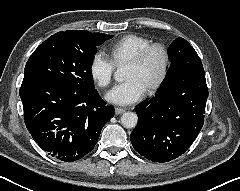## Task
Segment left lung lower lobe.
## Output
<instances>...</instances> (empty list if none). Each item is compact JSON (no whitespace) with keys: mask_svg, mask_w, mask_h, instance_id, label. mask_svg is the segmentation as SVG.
I'll return each mask as SVG.
<instances>
[{"mask_svg":"<svg viewBox=\"0 0 240 191\" xmlns=\"http://www.w3.org/2000/svg\"><path fill=\"white\" fill-rule=\"evenodd\" d=\"M182 70L135 109L138 125L130 135L132 146L153 162L164 163L182 155L204 124L208 98L204 70L196 65Z\"/></svg>","mask_w":240,"mask_h":191,"instance_id":"0a47b994","label":"left lung lower lobe"}]
</instances>
